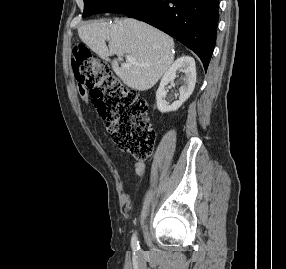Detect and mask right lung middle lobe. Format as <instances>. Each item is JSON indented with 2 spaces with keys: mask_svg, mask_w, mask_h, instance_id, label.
Instances as JSON below:
<instances>
[{
  "mask_svg": "<svg viewBox=\"0 0 286 269\" xmlns=\"http://www.w3.org/2000/svg\"><path fill=\"white\" fill-rule=\"evenodd\" d=\"M153 0H84L83 17L96 13L112 12L129 15Z\"/></svg>",
  "mask_w": 286,
  "mask_h": 269,
  "instance_id": "right-lung-middle-lobe-1",
  "label": "right lung middle lobe"
}]
</instances>
